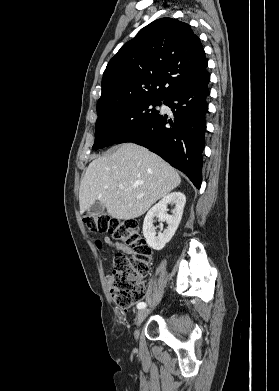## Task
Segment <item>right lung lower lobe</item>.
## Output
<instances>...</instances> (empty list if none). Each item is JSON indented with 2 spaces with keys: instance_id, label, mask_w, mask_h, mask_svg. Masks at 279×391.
Here are the masks:
<instances>
[{
  "instance_id": "obj_1",
  "label": "right lung lower lobe",
  "mask_w": 279,
  "mask_h": 391,
  "mask_svg": "<svg viewBox=\"0 0 279 391\" xmlns=\"http://www.w3.org/2000/svg\"><path fill=\"white\" fill-rule=\"evenodd\" d=\"M209 80L210 76L205 71L199 78L178 89L164 100L171 109L170 115L158 113L151 121L128 131L115 144L134 142L147 147L184 172L199 189Z\"/></svg>"
}]
</instances>
